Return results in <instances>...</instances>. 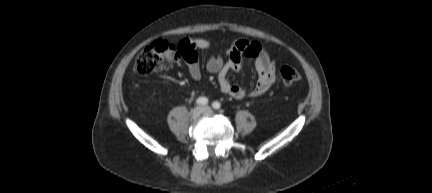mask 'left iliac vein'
I'll return each mask as SVG.
<instances>
[{
	"mask_svg": "<svg viewBox=\"0 0 432 193\" xmlns=\"http://www.w3.org/2000/svg\"><path fill=\"white\" fill-rule=\"evenodd\" d=\"M203 113H205V114H213V110L210 107L205 106V107H203Z\"/></svg>",
	"mask_w": 432,
	"mask_h": 193,
	"instance_id": "4c4485c4",
	"label": "left iliac vein"
}]
</instances>
